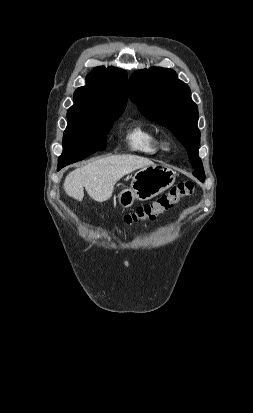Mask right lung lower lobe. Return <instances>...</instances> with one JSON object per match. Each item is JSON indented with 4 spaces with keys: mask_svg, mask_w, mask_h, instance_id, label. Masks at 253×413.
<instances>
[{
    "mask_svg": "<svg viewBox=\"0 0 253 413\" xmlns=\"http://www.w3.org/2000/svg\"><path fill=\"white\" fill-rule=\"evenodd\" d=\"M61 168H63L62 166L61 167H58V170H60Z\"/></svg>",
    "mask_w": 253,
    "mask_h": 413,
    "instance_id": "right-lung-lower-lobe-1",
    "label": "right lung lower lobe"
}]
</instances>
